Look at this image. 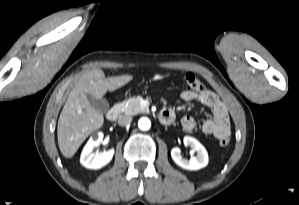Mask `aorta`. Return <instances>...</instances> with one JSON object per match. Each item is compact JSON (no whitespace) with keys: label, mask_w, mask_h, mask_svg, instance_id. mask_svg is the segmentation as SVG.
Segmentation results:
<instances>
[{"label":"aorta","mask_w":299,"mask_h":205,"mask_svg":"<svg viewBox=\"0 0 299 205\" xmlns=\"http://www.w3.org/2000/svg\"><path fill=\"white\" fill-rule=\"evenodd\" d=\"M138 126L141 130L146 131L149 130L151 127V122L148 118L142 117L138 121Z\"/></svg>","instance_id":"762f6f07"}]
</instances>
